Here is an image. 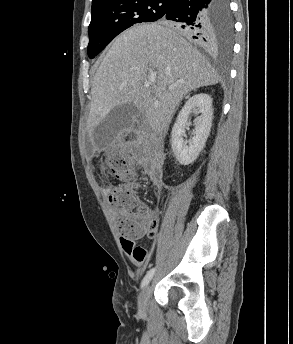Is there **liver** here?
I'll use <instances>...</instances> for the list:
<instances>
[{
    "label": "liver",
    "mask_w": 293,
    "mask_h": 344,
    "mask_svg": "<svg viewBox=\"0 0 293 344\" xmlns=\"http://www.w3.org/2000/svg\"><path fill=\"white\" fill-rule=\"evenodd\" d=\"M155 84L147 87L150 74ZM205 57L170 27L141 24L121 33L95 74L88 128L93 130L116 106L133 104L152 128H168L190 91L217 84Z\"/></svg>",
    "instance_id": "6515ba94"
}]
</instances>
